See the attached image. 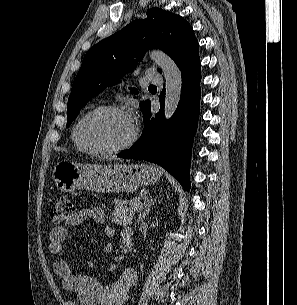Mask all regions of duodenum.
<instances>
[{
	"label": "duodenum",
	"instance_id": "duodenum-1",
	"mask_svg": "<svg viewBox=\"0 0 297 305\" xmlns=\"http://www.w3.org/2000/svg\"><path fill=\"white\" fill-rule=\"evenodd\" d=\"M122 239L124 246L128 250H132L133 248V234L130 230H126L122 233Z\"/></svg>",
	"mask_w": 297,
	"mask_h": 305
}]
</instances>
